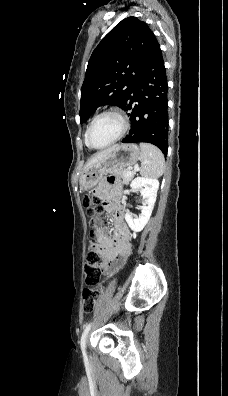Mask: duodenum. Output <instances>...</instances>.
<instances>
[{
    "mask_svg": "<svg viewBox=\"0 0 228 396\" xmlns=\"http://www.w3.org/2000/svg\"><path fill=\"white\" fill-rule=\"evenodd\" d=\"M119 223H120V232L123 233L124 230L126 229V226L123 224V221L121 219L119 220Z\"/></svg>",
    "mask_w": 228,
    "mask_h": 396,
    "instance_id": "1",
    "label": "duodenum"
}]
</instances>
